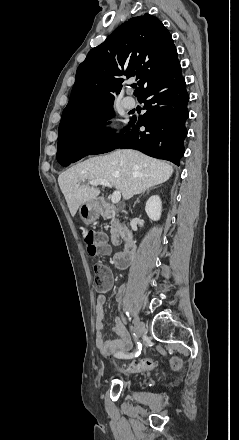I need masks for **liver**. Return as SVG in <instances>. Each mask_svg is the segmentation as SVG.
<instances>
[{"label":"liver","mask_w":239,"mask_h":440,"mask_svg":"<svg viewBox=\"0 0 239 440\" xmlns=\"http://www.w3.org/2000/svg\"><path fill=\"white\" fill-rule=\"evenodd\" d=\"M173 174L169 162L149 158L136 150H115L106 156L89 158L72 166L58 178V184L74 218L79 206L96 200L100 194L94 186H79L85 180H106L121 192L123 200L142 194L153 186L167 182Z\"/></svg>","instance_id":"liver-1"}]
</instances>
